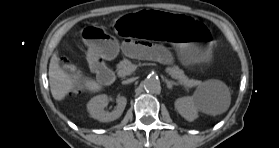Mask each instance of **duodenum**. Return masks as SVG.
<instances>
[{"mask_svg": "<svg viewBox=\"0 0 279 148\" xmlns=\"http://www.w3.org/2000/svg\"><path fill=\"white\" fill-rule=\"evenodd\" d=\"M91 70L104 83H110L113 80V73L108 68L106 62L101 58H93L90 61Z\"/></svg>", "mask_w": 279, "mask_h": 148, "instance_id": "obj_1", "label": "duodenum"}]
</instances>
